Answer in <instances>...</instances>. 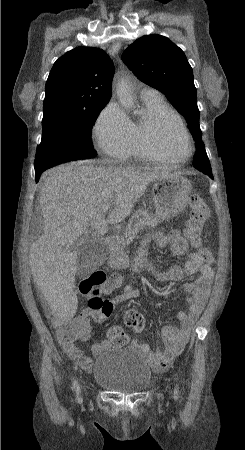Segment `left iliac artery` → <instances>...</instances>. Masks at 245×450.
Segmentation results:
<instances>
[{
  "instance_id": "obj_1",
  "label": "left iliac artery",
  "mask_w": 245,
  "mask_h": 450,
  "mask_svg": "<svg viewBox=\"0 0 245 450\" xmlns=\"http://www.w3.org/2000/svg\"><path fill=\"white\" fill-rule=\"evenodd\" d=\"M174 392H175V394L177 395V387H175V390H174ZM174 396L176 399H177V396Z\"/></svg>"
}]
</instances>
